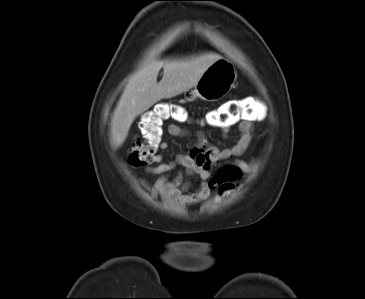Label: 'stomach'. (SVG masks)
<instances>
[{
	"label": "stomach",
	"mask_w": 365,
	"mask_h": 299,
	"mask_svg": "<svg viewBox=\"0 0 365 299\" xmlns=\"http://www.w3.org/2000/svg\"><path fill=\"white\" fill-rule=\"evenodd\" d=\"M237 72L234 65L220 58L212 63L202 74L192 90L186 91V99L189 101L196 98L208 102H214L225 95L234 87Z\"/></svg>",
	"instance_id": "obj_1"
}]
</instances>
